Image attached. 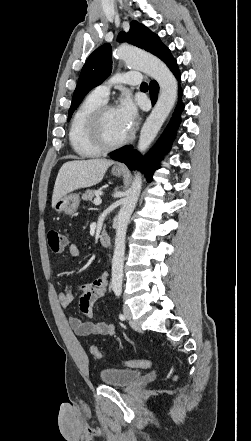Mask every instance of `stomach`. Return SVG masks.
Wrapping results in <instances>:
<instances>
[{"label":"stomach","mask_w":251,"mask_h":441,"mask_svg":"<svg viewBox=\"0 0 251 441\" xmlns=\"http://www.w3.org/2000/svg\"><path fill=\"white\" fill-rule=\"evenodd\" d=\"M112 174L116 177H120L123 174L122 170L112 169ZM80 198L78 194L68 193L61 197L54 205V210L58 213H64L66 215L74 214L79 206Z\"/></svg>","instance_id":"obj_1"}]
</instances>
